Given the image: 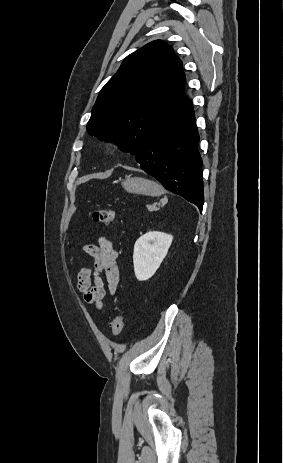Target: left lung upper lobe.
<instances>
[{
	"label": "left lung upper lobe",
	"mask_w": 283,
	"mask_h": 463,
	"mask_svg": "<svg viewBox=\"0 0 283 463\" xmlns=\"http://www.w3.org/2000/svg\"><path fill=\"white\" fill-rule=\"evenodd\" d=\"M184 84L182 62L172 47L161 40L148 43L127 56L101 89L87 131L135 155L191 102Z\"/></svg>",
	"instance_id": "5c2ea615"
}]
</instances>
